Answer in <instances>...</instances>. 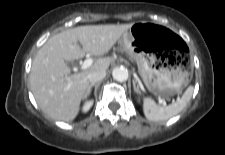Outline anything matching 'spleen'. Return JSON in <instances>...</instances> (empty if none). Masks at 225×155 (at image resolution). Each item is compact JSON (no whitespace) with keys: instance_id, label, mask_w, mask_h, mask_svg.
<instances>
[{"instance_id":"1","label":"spleen","mask_w":225,"mask_h":155,"mask_svg":"<svg viewBox=\"0 0 225 155\" xmlns=\"http://www.w3.org/2000/svg\"><path fill=\"white\" fill-rule=\"evenodd\" d=\"M194 88L188 87L181 98L168 106H159L151 98L143 100V112L150 121H164L179 114L190 101Z\"/></svg>"}]
</instances>
